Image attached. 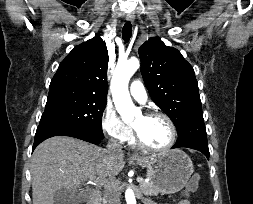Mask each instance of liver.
<instances>
[{"instance_id": "6515ba94", "label": "liver", "mask_w": 253, "mask_h": 204, "mask_svg": "<svg viewBox=\"0 0 253 204\" xmlns=\"http://www.w3.org/2000/svg\"><path fill=\"white\" fill-rule=\"evenodd\" d=\"M124 156L72 137L45 140L31 159L33 204H54L58 190L76 191L88 179L111 182L124 168Z\"/></svg>"}]
</instances>
